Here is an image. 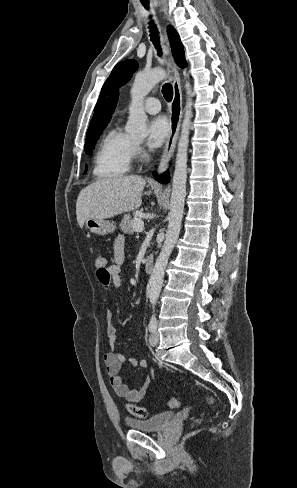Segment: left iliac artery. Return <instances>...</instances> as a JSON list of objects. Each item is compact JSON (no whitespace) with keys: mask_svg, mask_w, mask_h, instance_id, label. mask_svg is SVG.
I'll list each match as a JSON object with an SVG mask.
<instances>
[{"mask_svg":"<svg viewBox=\"0 0 297 488\" xmlns=\"http://www.w3.org/2000/svg\"><path fill=\"white\" fill-rule=\"evenodd\" d=\"M148 328H149L150 332H154L157 329V319H156V316L154 313L152 314V316L150 318Z\"/></svg>","mask_w":297,"mask_h":488,"instance_id":"obj_1","label":"left iliac artery"}]
</instances>
